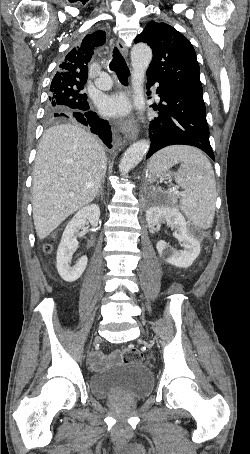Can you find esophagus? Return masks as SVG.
Instances as JSON below:
<instances>
[{
    "label": "esophagus",
    "mask_w": 250,
    "mask_h": 454,
    "mask_svg": "<svg viewBox=\"0 0 250 454\" xmlns=\"http://www.w3.org/2000/svg\"><path fill=\"white\" fill-rule=\"evenodd\" d=\"M117 47L121 51L124 57L128 55V48L125 46L123 41H117ZM120 130L125 136L130 140H135L138 137V127L133 117L128 118L123 123L120 124Z\"/></svg>",
    "instance_id": "obj_1"
}]
</instances>
